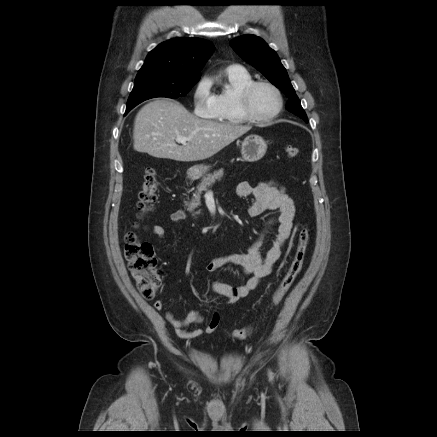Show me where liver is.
I'll return each instance as SVG.
<instances>
[{"mask_svg":"<svg viewBox=\"0 0 437 437\" xmlns=\"http://www.w3.org/2000/svg\"><path fill=\"white\" fill-rule=\"evenodd\" d=\"M250 129L251 126L198 118L180 103L158 98L137 113L133 146L156 158L200 161L212 157ZM177 136L186 137V144L177 145Z\"/></svg>","mask_w":437,"mask_h":437,"instance_id":"liver-1","label":"liver"}]
</instances>
